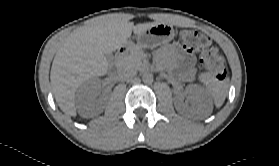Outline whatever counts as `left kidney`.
I'll use <instances>...</instances> for the list:
<instances>
[{
    "label": "left kidney",
    "mask_w": 279,
    "mask_h": 166,
    "mask_svg": "<svg viewBox=\"0 0 279 166\" xmlns=\"http://www.w3.org/2000/svg\"><path fill=\"white\" fill-rule=\"evenodd\" d=\"M187 92L189 103L193 108L202 109L210 104L209 96L202 87L192 84L188 86ZM174 105L176 110L180 113L189 110L188 104L184 102L183 95H176L174 97Z\"/></svg>",
    "instance_id": "left-kidney-1"
}]
</instances>
